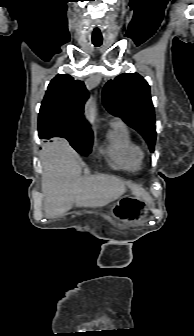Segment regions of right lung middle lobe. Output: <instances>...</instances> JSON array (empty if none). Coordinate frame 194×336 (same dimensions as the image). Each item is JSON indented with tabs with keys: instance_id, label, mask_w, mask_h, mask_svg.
Wrapping results in <instances>:
<instances>
[{
	"instance_id": "obj_1",
	"label": "right lung middle lobe",
	"mask_w": 194,
	"mask_h": 336,
	"mask_svg": "<svg viewBox=\"0 0 194 336\" xmlns=\"http://www.w3.org/2000/svg\"><path fill=\"white\" fill-rule=\"evenodd\" d=\"M71 146L80 154L87 155L91 151L93 137L82 135L65 136Z\"/></svg>"
}]
</instances>
